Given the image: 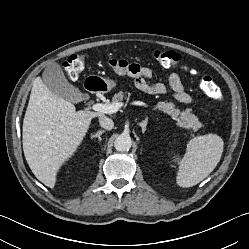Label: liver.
I'll return each mask as SVG.
<instances>
[{"mask_svg": "<svg viewBox=\"0 0 249 249\" xmlns=\"http://www.w3.org/2000/svg\"><path fill=\"white\" fill-rule=\"evenodd\" d=\"M102 116L76 111L75 106L35 79L23 121V151L36 178L54 188L60 167L71 158L85 137L91 120Z\"/></svg>", "mask_w": 249, "mask_h": 249, "instance_id": "1", "label": "liver"}]
</instances>
